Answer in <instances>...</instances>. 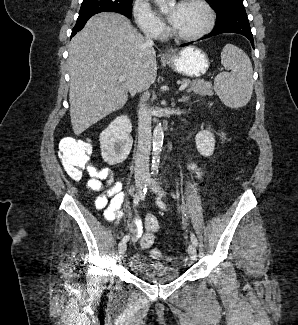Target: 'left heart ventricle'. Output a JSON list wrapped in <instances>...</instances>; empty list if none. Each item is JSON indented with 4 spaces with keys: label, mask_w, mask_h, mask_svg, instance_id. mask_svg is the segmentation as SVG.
Returning <instances> with one entry per match:
<instances>
[{
    "label": "left heart ventricle",
    "mask_w": 298,
    "mask_h": 325,
    "mask_svg": "<svg viewBox=\"0 0 298 325\" xmlns=\"http://www.w3.org/2000/svg\"><path fill=\"white\" fill-rule=\"evenodd\" d=\"M168 9L173 8L175 13L170 22L171 28L181 34H191L198 31L205 22L203 12L190 0L178 3H167Z\"/></svg>",
    "instance_id": "left-heart-ventricle-1"
}]
</instances>
